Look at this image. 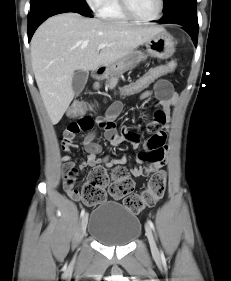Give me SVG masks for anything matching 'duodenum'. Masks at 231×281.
I'll return each instance as SVG.
<instances>
[{"label":"duodenum","instance_id":"obj_1","mask_svg":"<svg viewBox=\"0 0 231 281\" xmlns=\"http://www.w3.org/2000/svg\"><path fill=\"white\" fill-rule=\"evenodd\" d=\"M105 73L104 67H97L93 70V76L94 78L98 79Z\"/></svg>","mask_w":231,"mask_h":281}]
</instances>
